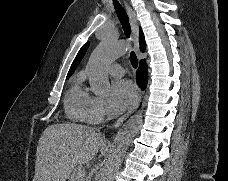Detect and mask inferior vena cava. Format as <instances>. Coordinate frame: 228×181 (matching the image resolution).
Segmentation results:
<instances>
[{
	"mask_svg": "<svg viewBox=\"0 0 228 181\" xmlns=\"http://www.w3.org/2000/svg\"><path fill=\"white\" fill-rule=\"evenodd\" d=\"M107 117H110L109 113H108ZM107 121H110V119H107ZM99 129H102V127H99ZM99 129H98V131H99Z\"/></svg>",
	"mask_w": 228,
	"mask_h": 181,
	"instance_id": "602c4592",
	"label": "inferior vena cava"
}]
</instances>
